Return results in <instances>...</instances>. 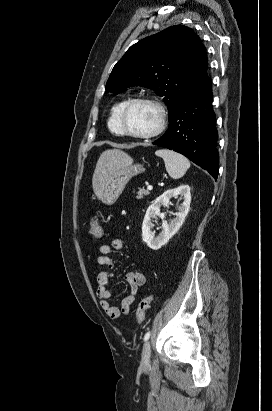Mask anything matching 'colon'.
Masks as SVG:
<instances>
[{
    "label": "colon",
    "mask_w": 272,
    "mask_h": 411,
    "mask_svg": "<svg viewBox=\"0 0 272 411\" xmlns=\"http://www.w3.org/2000/svg\"><path fill=\"white\" fill-rule=\"evenodd\" d=\"M102 233H103L102 224L99 218L95 216L90 221L89 236L91 237V239L97 240L102 236ZM152 301H153V296L150 295V296L143 298L138 304V307L136 309V319L139 324H141L144 321L146 312L149 309Z\"/></svg>",
    "instance_id": "5ec220e1"
}]
</instances>
